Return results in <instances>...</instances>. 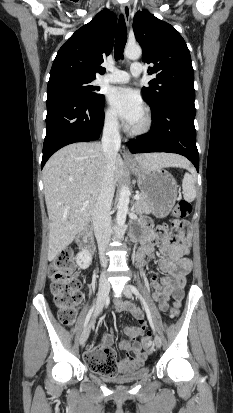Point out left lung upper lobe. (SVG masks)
<instances>
[{
    "mask_svg": "<svg viewBox=\"0 0 233 413\" xmlns=\"http://www.w3.org/2000/svg\"><path fill=\"white\" fill-rule=\"evenodd\" d=\"M134 34L142 46V60L154 64L148 74L155 75L143 95L152 110L174 102L195 107L194 72L188 47L170 24L146 10L134 17Z\"/></svg>",
    "mask_w": 233,
    "mask_h": 413,
    "instance_id": "5c2ea615",
    "label": "left lung upper lobe"
}]
</instances>
